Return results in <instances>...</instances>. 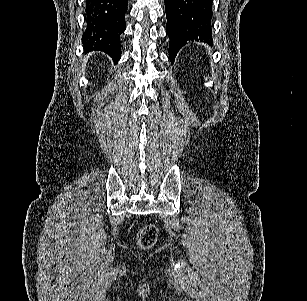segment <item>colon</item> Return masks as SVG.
I'll return each instance as SVG.
<instances>
[{
  "instance_id": "obj_1",
  "label": "colon",
  "mask_w": 307,
  "mask_h": 301,
  "mask_svg": "<svg viewBox=\"0 0 307 301\" xmlns=\"http://www.w3.org/2000/svg\"><path fill=\"white\" fill-rule=\"evenodd\" d=\"M158 238V230L152 224L142 226L137 234V244L142 249L151 248Z\"/></svg>"
}]
</instances>
